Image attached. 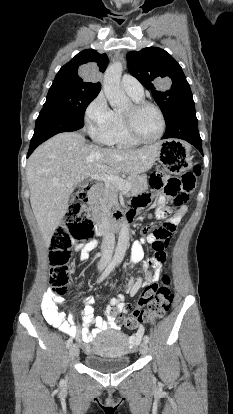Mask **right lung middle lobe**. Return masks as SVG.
I'll return each mask as SVG.
<instances>
[{"mask_svg": "<svg viewBox=\"0 0 233 414\" xmlns=\"http://www.w3.org/2000/svg\"><path fill=\"white\" fill-rule=\"evenodd\" d=\"M100 89L86 88L65 81L54 80L43 108H52L84 120L87 106Z\"/></svg>", "mask_w": 233, "mask_h": 414, "instance_id": "right-lung-middle-lobe-1", "label": "right lung middle lobe"}]
</instances>
